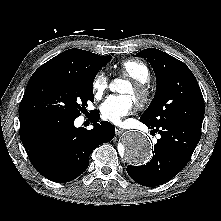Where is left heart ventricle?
Wrapping results in <instances>:
<instances>
[{
  "instance_id": "b2bd125f",
  "label": "left heart ventricle",
  "mask_w": 221,
  "mask_h": 221,
  "mask_svg": "<svg viewBox=\"0 0 221 221\" xmlns=\"http://www.w3.org/2000/svg\"><path fill=\"white\" fill-rule=\"evenodd\" d=\"M122 93L125 95H128L131 99L134 98V91L131 85L126 86L123 90Z\"/></svg>"
}]
</instances>
